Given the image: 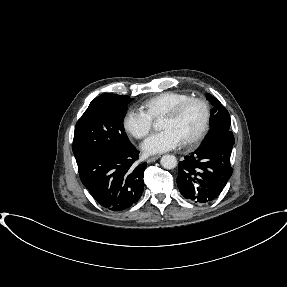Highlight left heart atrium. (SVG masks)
I'll return each instance as SVG.
<instances>
[{"label": "left heart atrium", "instance_id": "1", "mask_svg": "<svg viewBox=\"0 0 287 287\" xmlns=\"http://www.w3.org/2000/svg\"><path fill=\"white\" fill-rule=\"evenodd\" d=\"M182 143L179 134L175 130L167 128L149 136L142 143V149L146 154H155L172 150Z\"/></svg>", "mask_w": 287, "mask_h": 287}]
</instances>
